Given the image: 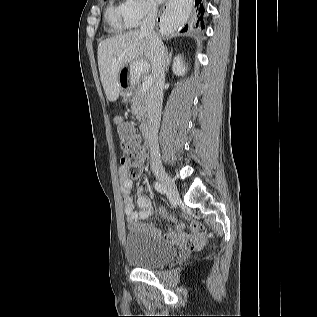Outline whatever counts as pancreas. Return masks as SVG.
<instances>
[{
  "label": "pancreas",
  "instance_id": "cf45deb5",
  "mask_svg": "<svg viewBox=\"0 0 317 317\" xmlns=\"http://www.w3.org/2000/svg\"><path fill=\"white\" fill-rule=\"evenodd\" d=\"M141 74V72H140ZM140 76V75H134ZM129 95L132 97L131 110L132 113L136 116L138 120H144L146 113V93H144L140 87L132 86L129 92Z\"/></svg>",
  "mask_w": 317,
  "mask_h": 317
}]
</instances>
